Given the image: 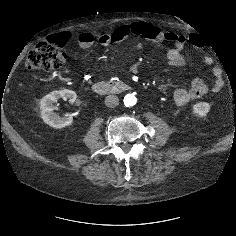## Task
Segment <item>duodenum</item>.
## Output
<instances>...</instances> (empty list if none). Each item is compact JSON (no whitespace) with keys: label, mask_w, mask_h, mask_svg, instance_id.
I'll return each instance as SVG.
<instances>
[{"label":"duodenum","mask_w":236,"mask_h":236,"mask_svg":"<svg viewBox=\"0 0 236 236\" xmlns=\"http://www.w3.org/2000/svg\"><path fill=\"white\" fill-rule=\"evenodd\" d=\"M130 89V86L124 82L97 81L93 84L92 90L99 95L122 93Z\"/></svg>","instance_id":"1"}]
</instances>
